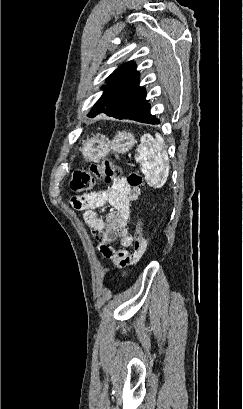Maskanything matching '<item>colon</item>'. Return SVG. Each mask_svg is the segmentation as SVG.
<instances>
[{
	"label": "colon",
	"instance_id": "1",
	"mask_svg": "<svg viewBox=\"0 0 243 409\" xmlns=\"http://www.w3.org/2000/svg\"><path fill=\"white\" fill-rule=\"evenodd\" d=\"M121 175L120 167L112 161L94 162L88 169H78L73 172L70 189L74 192H86L92 189L99 179H104L108 183H116L120 180ZM126 181L131 188H139L142 185V177L135 171L128 174ZM144 241L143 224L139 220L134 234L133 251L139 252Z\"/></svg>",
	"mask_w": 243,
	"mask_h": 409
}]
</instances>
